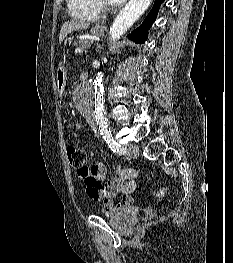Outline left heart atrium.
<instances>
[{
	"mask_svg": "<svg viewBox=\"0 0 233 263\" xmlns=\"http://www.w3.org/2000/svg\"><path fill=\"white\" fill-rule=\"evenodd\" d=\"M125 0H111L112 3L119 4L124 2Z\"/></svg>",
	"mask_w": 233,
	"mask_h": 263,
	"instance_id": "left-heart-atrium-1",
	"label": "left heart atrium"
}]
</instances>
